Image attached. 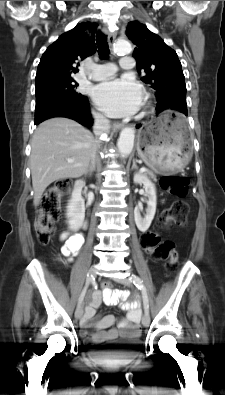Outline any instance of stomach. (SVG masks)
Segmentation results:
<instances>
[{
  "instance_id": "1",
  "label": "stomach",
  "mask_w": 225,
  "mask_h": 395,
  "mask_svg": "<svg viewBox=\"0 0 225 395\" xmlns=\"http://www.w3.org/2000/svg\"><path fill=\"white\" fill-rule=\"evenodd\" d=\"M137 152L155 172L175 173L182 170L192 156L183 116L167 110L144 124L138 134Z\"/></svg>"
}]
</instances>
